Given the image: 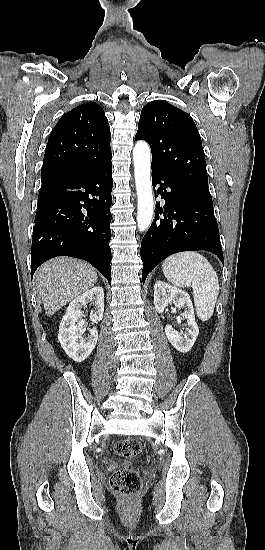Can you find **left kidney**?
<instances>
[{
  "instance_id": "5707ae66",
  "label": "left kidney",
  "mask_w": 265,
  "mask_h": 550,
  "mask_svg": "<svg viewBox=\"0 0 265 550\" xmlns=\"http://www.w3.org/2000/svg\"><path fill=\"white\" fill-rule=\"evenodd\" d=\"M168 304H174L178 309H183L185 318V332H177L171 325L165 326V333L173 347L181 353H187L194 345L199 334V328L195 321V314L190 296L185 291L173 287L168 283L157 281L154 285V306L158 313H163Z\"/></svg>"
}]
</instances>
